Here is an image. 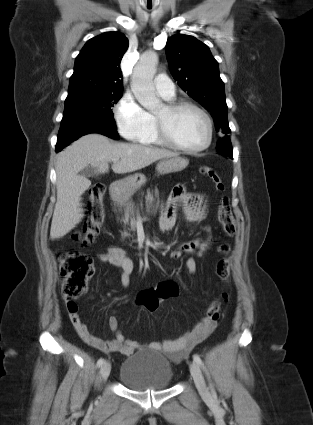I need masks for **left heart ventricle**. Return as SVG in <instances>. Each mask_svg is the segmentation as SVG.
<instances>
[{
    "label": "left heart ventricle",
    "instance_id": "b2bd125f",
    "mask_svg": "<svg viewBox=\"0 0 313 425\" xmlns=\"http://www.w3.org/2000/svg\"><path fill=\"white\" fill-rule=\"evenodd\" d=\"M168 121L173 137L187 148H197L207 139V124L201 114L195 110H184L170 119L165 107L157 114Z\"/></svg>",
    "mask_w": 313,
    "mask_h": 425
}]
</instances>
